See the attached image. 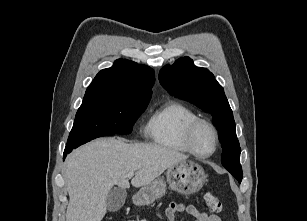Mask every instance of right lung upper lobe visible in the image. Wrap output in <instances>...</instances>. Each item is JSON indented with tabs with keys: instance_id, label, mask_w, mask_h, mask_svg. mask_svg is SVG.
I'll return each instance as SVG.
<instances>
[{
	"instance_id": "obj_1",
	"label": "right lung upper lobe",
	"mask_w": 307,
	"mask_h": 221,
	"mask_svg": "<svg viewBox=\"0 0 307 221\" xmlns=\"http://www.w3.org/2000/svg\"><path fill=\"white\" fill-rule=\"evenodd\" d=\"M155 82L153 69L126 59L101 70L86 90L83 102L105 97H134L150 100Z\"/></svg>"
}]
</instances>
